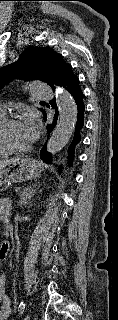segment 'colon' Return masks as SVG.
<instances>
[{
	"label": "colon",
	"mask_w": 118,
	"mask_h": 320,
	"mask_svg": "<svg viewBox=\"0 0 118 320\" xmlns=\"http://www.w3.org/2000/svg\"><path fill=\"white\" fill-rule=\"evenodd\" d=\"M3 256H4L3 253H0V259L3 258Z\"/></svg>",
	"instance_id": "colon-1"
}]
</instances>
